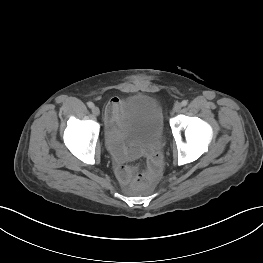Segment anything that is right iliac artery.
Masks as SVG:
<instances>
[{
    "label": "right iliac artery",
    "instance_id": "82829eb1",
    "mask_svg": "<svg viewBox=\"0 0 263 263\" xmlns=\"http://www.w3.org/2000/svg\"><path fill=\"white\" fill-rule=\"evenodd\" d=\"M87 105H88L89 108H93L94 107V104L92 102H88Z\"/></svg>",
    "mask_w": 263,
    "mask_h": 263
}]
</instances>
